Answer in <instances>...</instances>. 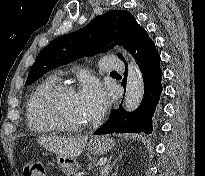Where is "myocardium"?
<instances>
[{
	"mask_svg": "<svg viewBox=\"0 0 205 176\" xmlns=\"http://www.w3.org/2000/svg\"><path fill=\"white\" fill-rule=\"evenodd\" d=\"M73 85L59 83L45 92L38 100L36 107L37 117L58 131L75 132L80 131L89 126L90 121L82 124H68L62 122L54 111V102L62 95L74 93Z\"/></svg>",
	"mask_w": 205,
	"mask_h": 176,
	"instance_id": "1",
	"label": "myocardium"
}]
</instances>
